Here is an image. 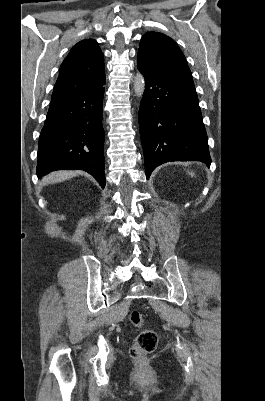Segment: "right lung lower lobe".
<instances>
[{
  "label": "right lung lower lobe",
  "mask_w": 265,
  "mask_h": 401,
  "mask_svg": "<svg viewBox=\"0 0 265 401\" xmlns=\"http://www.w3.org/2000/svg\"><path fill=\"white\" fill-rule=\"evenodd\" d=\"M103 85L89 92L51 100L39 137L38 178L55 170L80 169L105 187Z\"/></svg>",
  "instance_id": "obj_1"
}]
</instances>
